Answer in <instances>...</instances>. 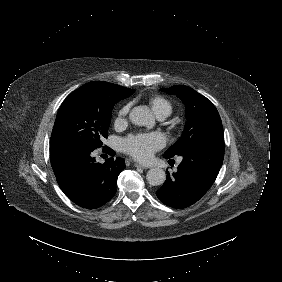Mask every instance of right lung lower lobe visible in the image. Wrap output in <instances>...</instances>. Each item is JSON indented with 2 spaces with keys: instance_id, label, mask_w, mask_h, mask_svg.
<instances>
[{
  "instance_id": "obj_1",
  "label": "right lung lower lobe",
  "mask_w": 282,
  "mask_h": 282,
  "mask_svg": "<svg viewBox=\"0 0 282 282\" xmlns=\"http://www.w3.org/2000/svg\"><path fill=\"white\" fill-rule=\"evenodd\" d=\"M91 149L74 148L51 155V165L64 194L78 206L95 209L116 193L118 175L125 162L117 157L96 163ZM110 154L112 149H106Z\"/></svg>"
}]
</instances>
